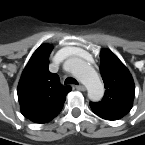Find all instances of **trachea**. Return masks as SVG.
Returning <instances> with one entry per match:
<instances>
[{"instance_id":"trachea-1","label":"trachea","mask_w":145,"mask_h":145,"mask_svg":"<svg viewBox=\"0 0 145 145\" xmlns=\"http://www.w3.org/2000/svg\"><path fill=\"white\" fill-rule=\"evenodd\" d=\"M65 84H76V85H78V82L74 78L68 77L65 80Z\"/></svg>"}]
</instances>
